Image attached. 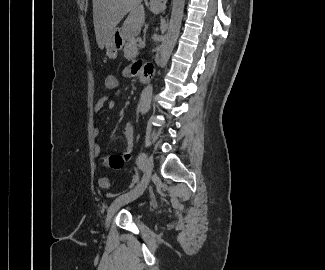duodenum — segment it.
Masks as SVG:
<instances>
[{"label": "duodenum", "mask_w": 325, "mask_h": 270, "mask_svg": "<svg viewBox=\"0 0 325 270\" xmlns=\"http://www.w3.org/2000/svg\"><path fill=\"white\" fill-rule=\"evenodd\" d=\"M147 78H148L147 76L143 75V76L141 77V81H142V82H145V81H147Z\"/></svg>", "instance_id": "obj_1"}]
</instances>
